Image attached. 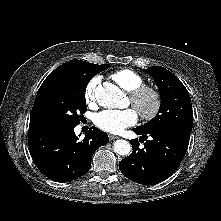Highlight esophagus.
<instances>
[{
    "label": "esophagus",
    "instance_id": "esophagus-1",
    "mask_svg": "<svg viewBox=\"0 0 221 221\" xmlns=\"http://www.w3.org/2000/svg\"><path fill=\"white\" fill-rule=\"evenodd\" d=\"M118 138H119V136H117V135L109 134V139L110 140H115V139H118Z\"/></svg>",
    "mask_w": 221,
    "mask_h": 221
}]
</instances>
